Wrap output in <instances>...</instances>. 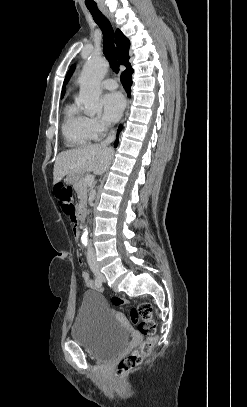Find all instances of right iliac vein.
Returning <instances> with one entry per match:
<instances>
[{
  "instance_id": "1",
  "label": "right iliac vein",
  "mask_w": 247,
  "mask_h": 407,
  "mask_svg": "<svg viewBox=\"0 0 247 407\" xmlns=\"http://www.w3.org/2000/svg\"><path fill=\"white\" fill-rule=\"evenodd\" d=\"M91 268H92L93 272L100 277L99 272H98V267L96 265H93Z\"/></svg>"
}]
</instances>
